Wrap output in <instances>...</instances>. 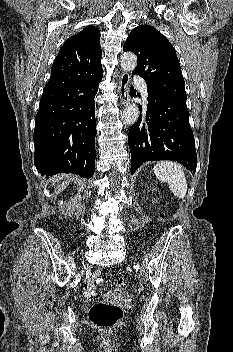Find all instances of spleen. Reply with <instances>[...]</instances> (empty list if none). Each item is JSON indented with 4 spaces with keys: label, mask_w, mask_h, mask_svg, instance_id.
Wrapping results in <instances>:
<instances>
[{
    "label": "spleen",
    "mask_w": 233,
    "mask_h": 352,
    "mask_svg": "<svg viewBox=\"0 0 233 352\" xmlns=\"http://www.w3.org/2000/svg\"><path fill=\"white\" fill-rule=\"evenodd\" d=\"M156 177L169 185L170 191L178 198L187 193V180L182 167L172 161H162L153 168Z\"/></svg>",
    "instance_id": "spleen-1"
}]
</instances>
